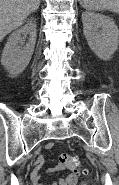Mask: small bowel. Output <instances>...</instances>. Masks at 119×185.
Segmentation results:
<instances>
[{
    "instance_id": "c3829d8e",
    "label": "small bowel",
    "mask_w": 119,
    "mask_h": 185,
    "mask_svg": "<svg viewBox=\"0 0 119 185\" xmlns=\"http://www.w3.org/2000/svg\"><path fill=\"white\" fill-rule=\"evenodd\" d=\"M46 148L48 150H51L54 148V144L48 143ZM43 163H44V159L42 157H38L34 161V168L30 174V179H31L33 185H43L42 172H41ZM62 169H63V165L59 164L55 167L49 168L48 171L54 172V171H60ZM76 182H77V176L75 174H69L63 178L57 179L55 182H53L52 185H75Z\"/></svg>"
}]
</instances>
